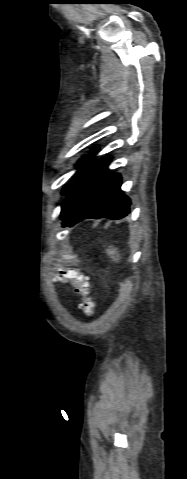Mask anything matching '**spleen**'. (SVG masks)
Listing matches in <instances>:
<instances>
[{
	"instance_id": "spleen-1",
	"label": "spleen",
	"mask_w": 187,
	"mask_h": 479,
	"mask_svg": "<svg viewBox=\"0 0 187 479\" xmlns=\"http://www.w3.org/2000/svg\"><path fill=\"white\" fill-rule=\"evenodd\" d=\"M106 253L114 262L117 263L120 260V255L118 254L116 248L109 246V248L106 250Z\"/></svg>"
}]
</instances>
